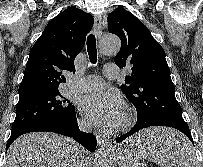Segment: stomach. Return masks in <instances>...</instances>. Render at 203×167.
<instances>
[{"label": "stomach", "instance_id": "stomach-1", "mask_svg": "<svg viewBox=\"0 0 203 167\" xmlns=\"http://www.w3.org/2000/svg\"><path fill=\"white\" fill-rule=\"evenodd\" d=\"M151 132H154V135H156L164 131L163 129H151L145 130L140 135L141 137L145 138L146 135L148 136L149 134H151ZM151 137L146 138L141 142L151 140ZM136 144L137 143H127L125 146V150L118 152L115 155V161L117 162L118 167H145L141 163L142 157L138 154L137 148H135Z\"/></svg>", "mask_w": 203, "mask_h": 167}]
</instances>
